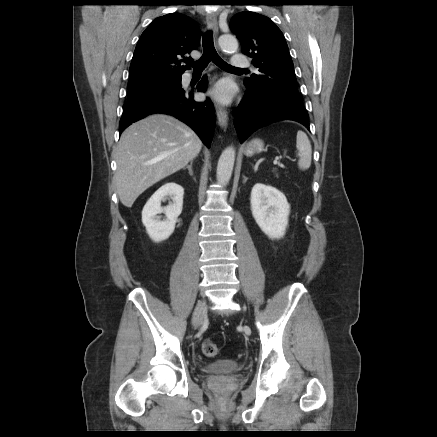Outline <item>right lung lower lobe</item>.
Listing matches in <instances>:
<instances>
[{
	"instance_id": "1",
	"label": "right lung lower lobe",
	"mask_w": 437,
	"mask_h": 437,
	"mask_svg": "<svg viewBox=\"0 0 437 437\" xmlns=\"http://www.w3.org/2000/svg\"><path fill=\"white\" fill-rule=\"evenodd\" d=\"M207 82V77L204 76L197 85L198 91L204 92ZM152 113H165L180 119L198 134L207 147L211 146L215 128V109L209 99L204 103L196 102L193 99V91L184 90L181 85L128 99L123 105L119 133L121 134L131 123Z\"/></svg>"
}]
</instances>
